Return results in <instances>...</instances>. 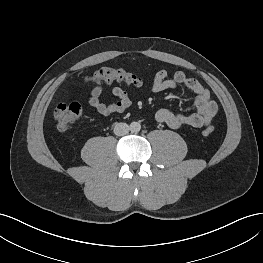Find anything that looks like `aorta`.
Wrapping results in <instances>:
<instances>
[{"label": "aorta", "instance_id": "1", "mask_svg": "<svg viewBox=\"0 0 263 263\" xmlns=\"http://www.w3.org/2000/svg\"><path fill=\"white\" fill-rule=\"evenodd\" d=\"M140 129H141V125H140L139 122H132V123L130 124V130H131V132H133V133H138V132L140 131Z\"/></svg>", "mask_w": 263, "mask_h": 263}]
</instances>
